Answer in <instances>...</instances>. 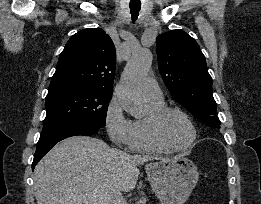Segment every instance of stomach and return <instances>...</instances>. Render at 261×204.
<instances>
[{"mask_svg": "<svg viewBox=\"0 0 261 204\" xmlns=\"http://www.w3.org/2000/svg\"><path fill=\"white\" fill-rule=\"evenodd\" d=\"M146 173L161 204H184L199 178L195 164L182 155L147 164Z\"/></svg>", "mask_w": 261, "mask_h": 204, "instance_id": "0dacf381", "label": "stomach"}]
</instances>
